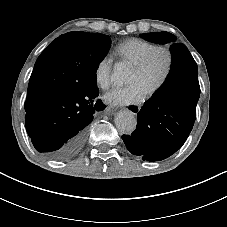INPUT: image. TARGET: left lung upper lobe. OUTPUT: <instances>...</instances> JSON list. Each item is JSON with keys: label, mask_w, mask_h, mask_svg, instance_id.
Segmentation results:
<instances>
[{"label": "left lung upper lobe", "mask_w": 227, "mask_h": 227, "mask_svg": "<svg viewBox=\"0 0 227 227\" xmlns=\"http://www.w3.org/2000/svg\"><path fill=\"white\" fill-rule=\"evenodd\" d=\"M147 41L158 43V44H172L170 47L171 53L180 47H184L185 45L182 43H174L176 41V36L168 32H159V33H146L141 35ZM186 47V46H185Z\"/></svg>", "instance_id": "obj_1"}]
</instances>
